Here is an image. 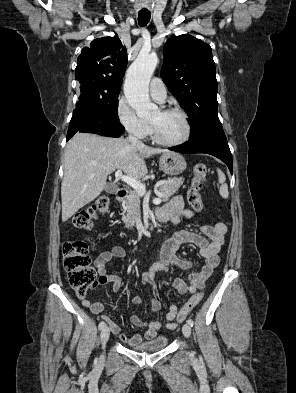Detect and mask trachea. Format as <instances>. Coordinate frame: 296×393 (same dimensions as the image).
Here are the masks:
<instances>
[{
  "mask_svg": "<svg viewBox=\"0 0 296 393\" xmlns=\"http://www.w3.org/2000/svg\"><path fill=\"white\" fill-rule=\"evenodd\" d=\"M151 18V13L150 12H138V23L141 27L146 26Z\"/></svg>",
  "mask_w": 296,
  "mask_h": 393,
  "instance_id": "obj_1",
  "label": "trachea"
}]
</instances>
